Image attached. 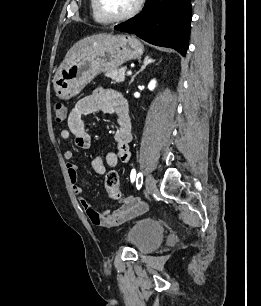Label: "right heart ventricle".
I'll use <instances>...</instances> for the list:
<instances>
[{"label": "right heart ventricle", "mask_w": 261, "mask_h": 306, "mask_svg": "<svg viewBox=\"0 0 261 306\" xmlns=\"http://www.w3.org/2000/svg\"><path fill=\"white\" fill-rule=\"evenodd\" d=\"M90 9L93 19L98 23H107V21L98 13L96 9V0H90Z\"/></svg>", "instance_id": "right-heart-ventricle-1"}]
</instances>
